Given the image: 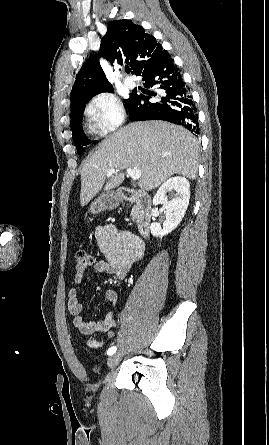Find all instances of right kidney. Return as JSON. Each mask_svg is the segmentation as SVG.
I'll use <instances>...</instances> for the list:
<instances>
[{
  "instance_id": "1",
  "label": "right kidney",
  "mask_w": 269,
  "mask_h": 445,
  "mask_svg": "<svg viewBox=\"0 0 269 445\" xmlns=\"http://www.w3.org/2000/svg\"><path fill=\"white\" fill-rule=\"evenodd\" d=\"M189 189V181L180 176L169 178L160 186L153 198V204L162 205L165 208L166 220L163 227L159 223H151L150 230L154 237L162 238L180 224L189 205ZM171 191H175V196L171 201H168L167 194Z\"/></svg>"
}]
</instances>
